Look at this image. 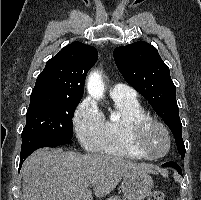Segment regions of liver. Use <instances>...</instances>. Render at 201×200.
I'll return each instance as SVG.
<instances>
[{"label": "liver", "instance_id": "obj_1", "mask_svg": "<svg viewBox=\"0 0 201 200\" xmlns=\"http://www.w3.org/2000/svg\"><path fill=\"white\" fill-rule=\"evenodd\" d=\"M24 200H93L115 189L122 177L131 173H153L145 163L97 154L43 148L23 164Z\"/></svg>", "mask_w": 201, "mask_h": 200}]
</instances>
